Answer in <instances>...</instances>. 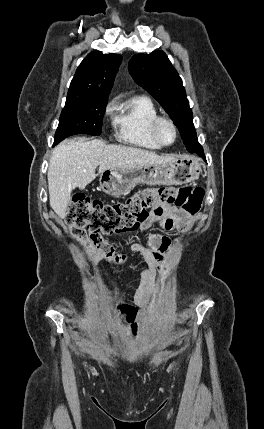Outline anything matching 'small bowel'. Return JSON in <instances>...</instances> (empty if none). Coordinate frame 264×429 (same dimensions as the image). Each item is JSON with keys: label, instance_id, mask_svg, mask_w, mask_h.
Returning a JSON list of instances; mask_svg holds the SVG:
<instances>
[{"label": "small bowel", "instance_id": "1", "mask_svg": "<svg viewBox=\"0 0 264 429\" xmlns=\"http://www.w3.org/2000/svg\"><path fill=\"white\" fill-rule=\"evenodd\" d=\"M190 224L191 217L173 205L161 206L159 210L152 212L144 222L143 231L147 234L146 244L133 243L130 247L131 252L141 255L148 264V269L143 273L141 288L137 294V303L139 305L150 304V296L156 274V264L160 263L161 269L165 271L164 258L172 248V242L168 237L151 233V228L154 225H160L166 230H185ZM72 235L85 249L88 261L92 266L101 261L122 264L128 258L126 252L118 250L102 237L93 239L85 232L72 233ZM130 309L133 318L131 322H133L137 314V309L132 306H130ZM131 330L133 334L136 333L137 325L135 323L131 325Z\"/></svg>", "mask_w": 264, "mask_h": 429}]
</instances>
